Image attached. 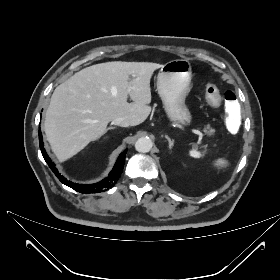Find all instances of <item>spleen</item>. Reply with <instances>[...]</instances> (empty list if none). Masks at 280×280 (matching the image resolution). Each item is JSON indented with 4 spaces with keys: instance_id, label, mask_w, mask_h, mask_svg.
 <instances>
[{
    "instance_id": "spleen-1",
    "label": "spleen",
    "mask_w": 280,
    "mask_h": 280,
    "mask_svg": "<svg viewBox=\"0 0 280 280\" xmlns=\"http://www.w3.org/2000/svg\"><path fill=\"white\" fill-rule=\"evenodd\" d=\"M214 164H215V166H217L219 168H226L229 166L228 160L223 159V158L217 159Z\"/></svg>"
}]
</instances>
